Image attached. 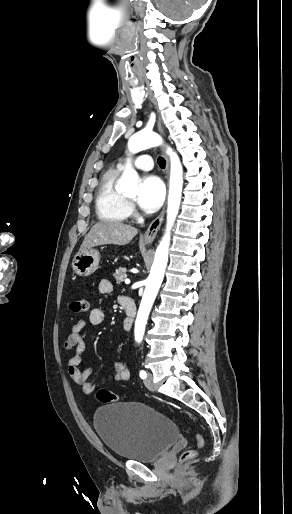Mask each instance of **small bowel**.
Returning a JSON list of instances; mask_svg holds the SVG:
<instances>
[{"label":"small bowel","mask_w":292,"mask_h":514,"mask_svg":"<svg viewBox=\"0 0 292 514\" xmlns=\"http://www.w3.org/2000/svg\"><path fill=\"white\" fill-rule=\"evenodd\" d=\"M98 290L103 295L110 294L113 290L112 283L107 279H102L98 283ZM104 321V311L96 307L90 312L87 319H81L71 326L70 332L64 341L65 350L71 351L74 349V355L71 356L67 362V373L73 382L87 394L94 393L96 386L88 380L89 377L92 376L93 370L91 368L84 370L79 368L81 355L86 349V332L89 326L98 327L101 326ZM130 377L131 372L124 362L114 364V380L116 382H126Z\"/></svg>","instance_id":"obj_1"}]
</instances>
